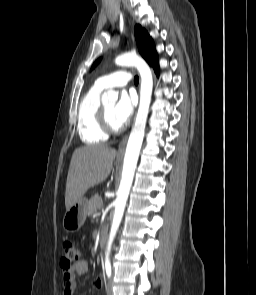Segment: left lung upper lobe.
<instances>
[{
    "mask_svg": "<svg viewBox=\"0 0 256 295\" xmlns=\"http://www.w3.org/2000/svg\"><path fill=\"white\" fill-rule=\"evenodd\" d=\"M135 38L138 46V50L142 57L148 62L150 66L158 65L157 52L154 47V43L148 33L140 26L136 25L134 29ZM98 59L92 69L100 62Z\"/></svg>",
    "mask_w": 256,
    "mask_h": 295,
    "instance_id": "obj_1",
    "label": "left lung upper lobe"
}]
</instances>
